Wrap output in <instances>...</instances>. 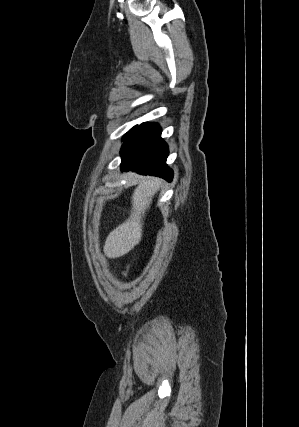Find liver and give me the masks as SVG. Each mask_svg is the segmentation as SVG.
Returning a JSON list of instances; mask_svg holds the SVG:
<instances>
[{"instance_id": "1", "label": "liver", "mask_w": 299, "mask_h": 427, "mask_svg": "<svg viewBox=\"0 0 299 427\" xmlns=\"http://www.w3.org/2000/svg\"><path fill=\"white\" fill-rule=\"evenodd\" d=\"M160 184V179L147 177L136 187L132 195L130 217L106 238L104 253L108 258H119L127 254L141 241L143 217Z\"/></svg>"}]
</instances>
